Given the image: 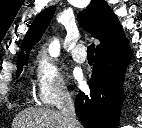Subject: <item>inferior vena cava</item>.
Wrapping results in <instances>:
<instances>
[{
    "label": "inferior vena cava",
    "instance_id": "1",
    "mask_svg": "<svg viewBox=\"0 0 142 128\" xmlns=\"http://www.w3.org/2000/svg\"><path fill=\"white\" fill-rule=\"evenodd\" d=\"M59 109L64 116L67 128H81L75 114V108L69 93L62 94Z\"/></svg>",
    "mask_w": 142,
    "mask_h": 128
}]
</instances>
